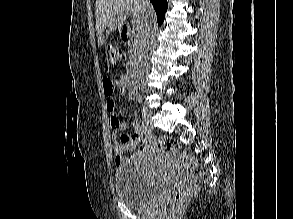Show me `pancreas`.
Wrapping results in <instances>:
<instances>
[{
    "mask_svg": "<svg viewBox=\"0 0 293 219\" xmlns=\"http://www.w3.org/2000/svg\"><path fill=\"white\" fill-rule=\"evenodd\" d=\"M138 49V43L134 41V43L129 44V61L127 63V66H132L133 61L136 58V51Z\"/></svg>",
    "mask_w": 293,
    "mask_h": 219,
    "instance_id": "obj_1",
    "label": "pancreas"
}]
</instances>
